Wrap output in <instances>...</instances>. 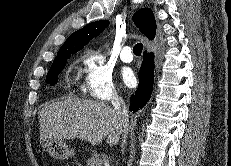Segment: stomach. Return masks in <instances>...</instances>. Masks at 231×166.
<instances>
[{
  "instance_id": "obj_1",
  "label": "stomach",
  "mask_w": 231,
  "mask_h": 166,
  "mask_svg": "<svg viewBox=\"0 0 231 166\" xmlns=\"http://www.w3.org/2000/svg\"><path fill=\"white\" fill-rule=\"evenodd\" d=\"M46 147L49 154L55 159L64 160L74 155V151L70 149L64 139L48 140Z\"/></svg>"
}]
</instances>
